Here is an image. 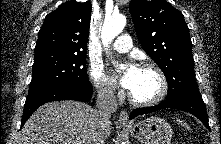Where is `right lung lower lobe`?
I'll return each instance as SVG.
<instances>
[{
    "label": "right lung lower lobe",
    "mask_w": 221,
    "mask_h": 144,
    "mask_svg": "<svg viewBox=\"0 0 221 144\" xmlns=\"http://www.w3.org/2000/svg\"><path fill=\"white\" fill-rule=\"evenodd\" d=\"M92 93L93 89L90 84L84 86L61 84L47 88L35 96L26 99L21 127L38 107L47 102L60 100L87 101Z\"/></svg>",
    "instance_id": "right-lung-lower-lobe-1"
}]
</instances>
